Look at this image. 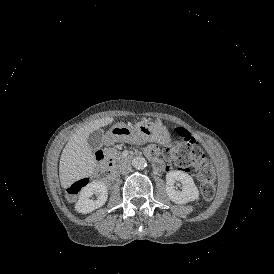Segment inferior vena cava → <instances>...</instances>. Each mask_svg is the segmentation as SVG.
Masks as SVG:
<instances>
[{
	"label": "inferior vena cava",
	"mask_w": 274,
	"mask_h": 274,
	"mask_svg": "<svg viewBox=\"0 0 274 274\" xmlns=\"http://www.w3.org/2000/svg\"><path fill=\"white\" fill-rule=\"evenodd\" d=\"M131 171V166L129 164H124L119 168V172L123 175L128 174Z\"/></svg>",
	"instance_id": "obj_1"
}]
</instances>
